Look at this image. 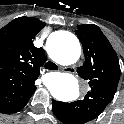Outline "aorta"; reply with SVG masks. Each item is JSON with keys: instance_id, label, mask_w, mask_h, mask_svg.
Segmentation results:
<instances>
[{"instance_id": "obj_1", "label": "aorta", "mask_w": 124, "mask_h": 124, "mask_svg": "<svg viewBox=\"0 0 124 124\" xmlns=\"http://www.w3.org/2000/svg\"><path fill=\"white\" fill-rule=\"evenodd\" d=\"M50 57L63 65L75 63L81 54V47L77 37L68 31H60L49 43ZM51 95L59 101L70 102L79 97L77 79L68 73H49L44 80Z\"/></svg>"}]
</instances>
